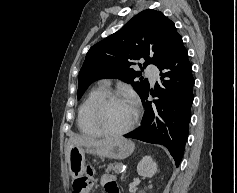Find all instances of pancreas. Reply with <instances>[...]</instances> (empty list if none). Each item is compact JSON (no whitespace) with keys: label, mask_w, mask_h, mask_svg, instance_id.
<instances>
[{"label":"pancreas","mask_w":237,"mask_h":193,"mask_svg":"<svg viewBox=\"0 0 237 193\" xmlns=\"http://www.w3.org/2000/svg\"><path fill=\"white\" fill-rule=\"evenodd\" d=\"M123 167V163L121 162H115V163H110L107 166L106 172H112L115 174H118Z\"/></svg>","instance_id":"cf45deb5"}]
</instances>
